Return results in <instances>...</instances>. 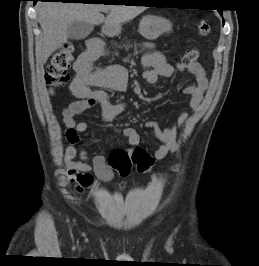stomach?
Wrapping results in <instances>:
<instances>
[{
    "label": "stomach",
    "mask_w": 259,
    "mask_h": 266,
    "mask_svg": "<svg viewBox=\"0 0 259 266\" xmlns=\"http://www.w3.org/2000/svg\"><path fill=\"white\" fill-rule=\"evenodd\" d=\"M171 28V23L168 20L158 16L148 15L141 20L139 32L144 38L155 40L160 35L170 32ZM120 31L121 26L107 29L109 35H117Z\"/></svg>",
    "instance_id": "stomach-1"
}]
</instances>
